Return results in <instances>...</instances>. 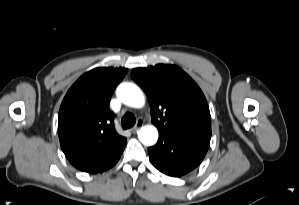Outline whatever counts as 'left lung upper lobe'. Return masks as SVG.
Listing matches in <instances>:
<instances>
[{"label":"left lung upper lobe","instance_id":"1","mask_svg":"<svg viewBox=\"0 0 299 205\" xmlns=\"http://www.w3.org/2000/svg\"><path fill=\"white\" fill-rule=\"evenodd\" d=\"M131 76L148 97L152 123L160 136L211 139V117L205 96L179 67L158 64L135 68Z\"/></svg>","mask_w":299,"mask_h":205}]
</instances>
